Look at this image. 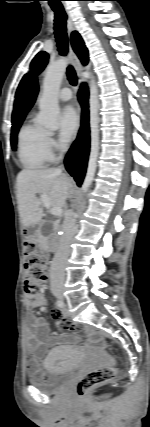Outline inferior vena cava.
Returning <instances> with one entry per match:
<instances>
[{
	"label": "inferior vena cava",
	"mask_w": 150,
	"mask_h": 427,
	"mask_svg": "<svg viewBox=\"0 0 150 427\" xmlns=\"http://www.w3.org/2000/svg\"><path fill=\"white\" fill-rule=\"evenodd\" d=\"M58 170L61 171L60 168ZM71 194L72 191H70L69 197H72ZM62 230L63 236L50 267V284L52 287L64 283L65 265L70 254V244L76 233V222L73 214L64 218Z\"/></svg>",
	"instance_id": "602c4592"
}]
</instances>
